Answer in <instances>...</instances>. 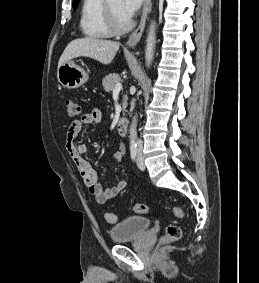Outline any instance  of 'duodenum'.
Returning <instances> with one entry per match:
<instances>
[{
    "label": "duodenum",
    "instance_id": "duodenum-1",
    "mask_svg": "<svg viewBox=\"0 0 259 283\" xmlns=\"http://www.w3.org/2000/svg\"><path fill=\"white\" fill-rule=\"evenodd\" d=\"M128 125H129V121L127 118L123 117L119 119L118 124H117V133L120 136L126 135L128 131Z\"/></svg>",
    "mask_w": 259,
    "mask_h": 283
}]
</instances>
